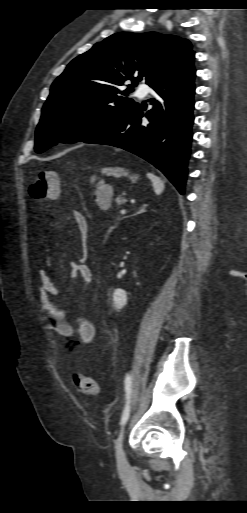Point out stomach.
I'll return each mask as SVG.
<instances>
[{
	"label": "stomach",
	"mask_w": 247,
	"mask_h": 513,
	"mask_svg": "<svg viewBox=\"0 0 247 513\" xmlns=\"http://www.w3.org/2000/svg\"><path fill=\"white\" fill-rule=\"evenodd\" d=\"M101 172L106 176H113L115 178L129 177L131 181L135 182L138 180V175L130 174V172L121 167H104L101 168Z\"/></svg>",
	"instance_id": "0dacf381"
}]
</instances>
